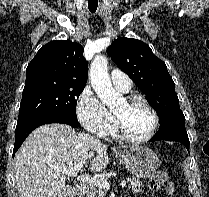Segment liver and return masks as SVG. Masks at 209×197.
<instances>
[{
  "label": "liver",
  "mask_w": 209,
  "mask_h": 197,
  "mask_svg": "<svg viewBox=\"0 0 209 197\" xmlns=\"http://www.w3.org/2000/svg\"><path fill=\"white\" fill-rule=\"evenodd\" d=\"M80 162H89L91 172L101 171L109 163L107 146L66 124L38 127L15 155L19 197H66L71 187L66 186L65 173L60 170Z\"/></svg>",
  "instance_id": "liver-1"
}]
</instances>
